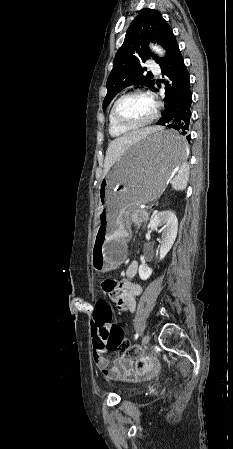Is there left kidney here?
I'll list each match as a JSON object with an SVG mask.
<instances>
[{"instance_id":"5707ae66","label":"left kidney","mask_w":233,"mask_h":449,"mask_svg":"<svg viewBox=\"0 0 233 449\" xmlns=\"http://www.w3.org/2000/svg\"><path fill=\"white\" fill-rule=\"evenodd\" d=\"M151 229L157 230L162 227V237L159 252V259L162 260L171 249L178 231V220L171 211H162L157 213L150 222ZM152 274V269L142 264L139 266V277L147 280Z\"/></svg>"}]
</instances>
